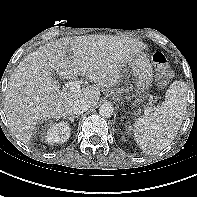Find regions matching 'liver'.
<instances>
[{
  "label": "liver",
  "mask_w": 197,
  "mask_h": 197,
  "mask_svg": "<svg viewBox=\"0 0 197 197\" xmlns=\"http://www.w3.org/2000/svg\"><path fill=\"white\" fill-rule=\"evenodd\" d=\"M69 46L72 57L66 54ZM144 49L146 45L137 39L88 35L62 38L28 54L15 68L6 90L4 111L11 131L26 144L42 120L70 115L76 99L86 98L96 105L101 89L116 86L122 68ZM54 71L64 79L81 75L96 84L76 93L61 91L51 76Z\"/></svg>",
  "instance_id": "1"
}]
</instances>
